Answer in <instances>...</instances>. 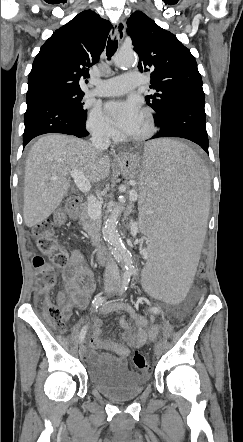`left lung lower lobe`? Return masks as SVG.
<instances>
[{
  "mask_svg": "<svg viewBox=\"0 0 243 442\" xmlns=\"http://www.w3.org/2000/svg\"><path fill=\"white\" fill-rule=\"evenodd\" d=\"M204 92H187L176 97L165 115L155 121L160 131L151 139L180 137L200 145L208 153Z\"/></svg>",
  "mask_w": 243,
  "mask_h": 442,
  "instance_id": "0a47b994",
  "label": "left lung lower lobe"
}]
</instances>
